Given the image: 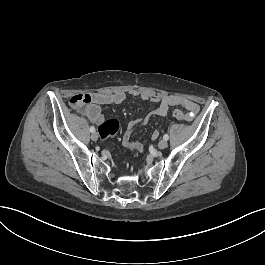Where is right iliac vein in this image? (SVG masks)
Segmentation results:
<instances>
[{
    "instance_id": "right-iliac-vein-1",
    "label": "right iliac vein",
    "mask_w": 265,
    "mask_h": 265,
    "mask_svg": "<svg viewBox=\"0 0 265 265\" xmlns=\"http://www.w3.org/2000/svg\"><path fill=\"white\" fill-rule=\"evenodd\" d=\"M98 138H99V135H98V133H96V132H93V133H92V135H91V139H92L93 141H97V140H98Z\"/></svg>"
}]
</instances>
